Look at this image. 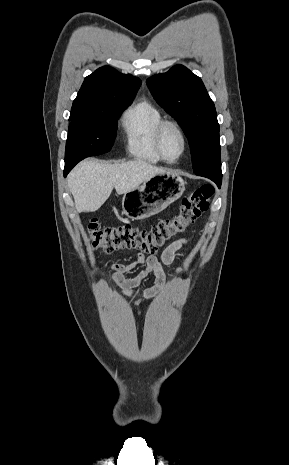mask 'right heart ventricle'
Segmentation results:
<instances>
[{"instance_id":"1","label":"right heart ventricle","mask_w":289,"mask_h":465,"mask_svg":"<svg viewBox=\"0 0 289 465\" xmlns=\"http://www.w3.org/2000/svg\"><path fill=\"white\" fill-rule=\"evenodd\" d=\"M163 115L149 100H141L126 110L122 117V129L129 153L140 160L159 163L155 135Z\"/></svg>"}]
</instances>
